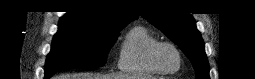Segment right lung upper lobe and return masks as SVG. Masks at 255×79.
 I'll return each instance as SVG.
<instances>
[{
    "label": "right lung upper lobe",
    "instance_id": "1",
    "mask_svg": "<svg viewBox=\"0 0 255 79\" xmlns=\"http://www.w3.org/2000/svg\"><path fill=\"white\" fill-rule=\"evenodd\" d=\"M74 8L60 19L59 28L116 32L139 15L137 12L110 10L94 1H80Z\"/></svg>",
    "mask_w": 255,
    "mask_h": 79
}]
</instances>
